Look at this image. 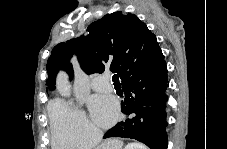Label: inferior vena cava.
<instances>
[{"mask_svg":"<svg viewBox=\"0 0 227 149\" xmlns=\"http://www.w3.org/2000/svg\"><path fill=\"white\" fill-rule=\"evenodd\" d=\"M102 132L101 131H95L93 133V139L96 140V141H99L102 139Z\"/></svg>","mask_w":227,"mask_h":149,"instance_id":"602c4592","label":"inferior vena cava"}]
</instances>
